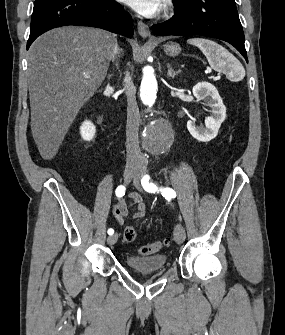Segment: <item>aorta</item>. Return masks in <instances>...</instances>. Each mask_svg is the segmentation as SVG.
<instances>
[{
    "label": "aorta",
    "instance_id": "1",
    "mask_svg": "<svg viewBox=\"0 0 285 335\" xmlns=\"http://www.w3.org/2000/svg\"><path fill=\"white\" fill-rule=\"evenodd\" d=\"M142 72L143 78L140 90H136V97H140L146 107H157V102H164V95H159L154 70L151 66H145ZM152 123L140 130L145 152H168L175 130H171V125H164V119H153Z\"/></svg>",
    "mask_w": 285,
    "mask_h": 335
}]
</instances>
